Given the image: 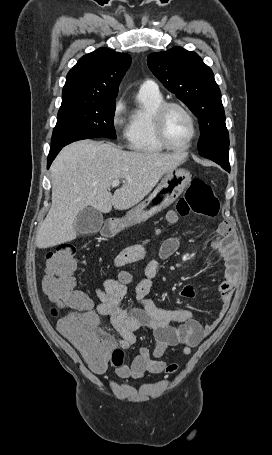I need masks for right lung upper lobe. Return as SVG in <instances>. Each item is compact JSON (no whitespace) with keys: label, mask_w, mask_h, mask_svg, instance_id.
I'll return each instance as SVG.
<instances>
[{"label":"right lung upper lobe","mask_w":272,"mask_h":455,"mask_svg":"<svg viewBox=\"0 0 272 455\" xmlns=\"http://www.w3.org/2000/svg\"><path fill=\"white\" fill-rule=\"evenodd\" d=\"M130 63L128 54L107 48L86 54L67 74L62 103L115 101Z\"/></svg>","instance_id":"obj_1"}]
</instances>
